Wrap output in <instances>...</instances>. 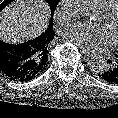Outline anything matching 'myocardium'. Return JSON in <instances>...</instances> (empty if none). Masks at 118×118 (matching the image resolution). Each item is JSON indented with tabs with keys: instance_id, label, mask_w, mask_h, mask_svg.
Wrapping results in <instances>:
<instances>
[{
	"instance_id": "f54148a6",
	"label": "myocardium",
	"mask_w": 118,
	"mask_h": 118,
	"mask_svg": "<svg viewBox=\"0 0 118 118\" xmlns=\"http://www.w3.org/2000/svg\"><path fill=\"white\" fill-rule=\"evenodd\" d=\"M101 19L104 22H111L118 16V3L109 9L100 13ZM113 45L118 47V39L113 42Z\"/></svg>"
}]
</instances>
